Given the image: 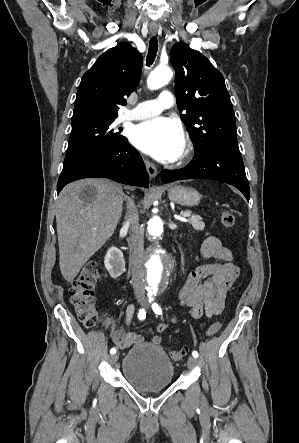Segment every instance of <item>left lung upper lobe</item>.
Returning <instances> with one entry per match:
<instances>
[{
  "label": "left lung upper lobe",
  "instance_id": "obj_1",
  "mask_svg": "<svg viewBox=\"0 0 299 443\" xmlns=\"http://www.w3.org/2000/svg\"><path fill=\"white\" fill-rule=\"evenodd\" d=\"M181 118L195 153L219 146L239 151L236 120L222 74L201 53L177 43L170 52Z\"/></svg>",
  "mask_w": 299,
  "mask_h": 443
}]
</instances>
